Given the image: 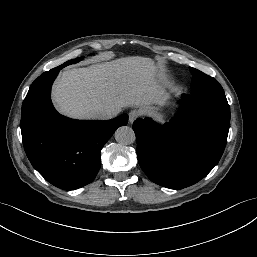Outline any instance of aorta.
Masks as SVG:
<instances>
[{"instance_id":"obj_1","label":"aorta","mask_w":257,"mask_h":257,"mask_svg":"<svg viewBox=\"0 0 257 257\" xmlns=\"http://www.w3.org/2000/svg\"><path fill=\"white\" fill-rule=\"evenodd\" d=\"M115 139L120 144L129 145L134 143L136 137L131 127L121 126L115 132Z\"/></svg>"}]
</instances>
